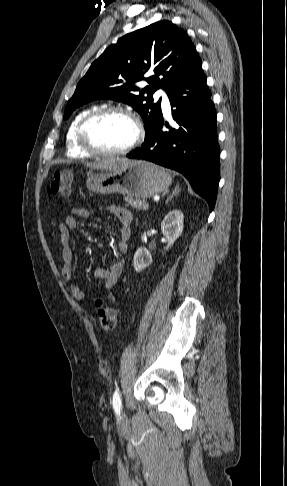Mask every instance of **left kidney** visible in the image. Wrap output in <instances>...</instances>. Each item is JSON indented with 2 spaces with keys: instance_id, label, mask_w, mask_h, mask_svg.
Listing matches in <instances>:
<instances>
[{
  "instance_id": "left-kidney-1",
  "label": "left kidney",
  "mask_w": 287,
  "mask_h": 486,
  "mask_svg": "<svg viewBox=\"0 0 287 486\" xmlns=\"http://www.w3.org/2000/svg\"><path fill=\"white\" fill-rule=\"evenodd\" d=\"M183 219L184 215L180 210L170 211L164 217L161 223V230L168 242L165 250H168L182 234L184 228ZM152 262V256L146 248L140 247L137 249L133 260V266L136 272L142 271L151 265Z\"/></svg>"
}]
</instances>
